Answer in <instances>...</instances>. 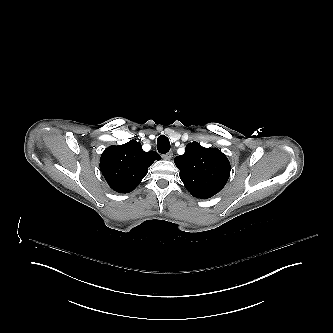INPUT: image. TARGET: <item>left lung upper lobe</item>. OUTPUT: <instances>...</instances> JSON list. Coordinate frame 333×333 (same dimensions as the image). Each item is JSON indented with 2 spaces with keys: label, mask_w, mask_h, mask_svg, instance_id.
<instances>
[{
  "label": "left lung upper lobe",
  "mask_w": 333,
  "mask_h": 333,
  "mask_svg": "<svg viewBox=\"0 0 333 333\" xmlns=\"http://www.w3.org/2000/svg\"><path fill=\"white\" fill-rule=\"evenodd\" d=\"M180 179L196 198L208 199L217 194L230 175V163L217 148H205L197 142L187 144L185 153L174 159Z\"/></svg>",
  "instance_id": "obj_1"
}]
</instances>
